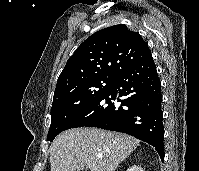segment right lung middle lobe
<instances>
[{
    "label": "right lung middle lobe",
    "instance_id": "1",
    "mask_svg": "<svg viewBox=\"0 0 199 171\" xmlns=\"http://www.w3.org/2000/svg\"><path fill=\"white\" fill-rule=\"evenodd\" d=\"M115 78L114 76H103L88 80L54 100L51 107L48 140L53 141L56 135L64 131L67 124L102 94Z\"/></svg>",
    "mask_w": 199,
    "mask_h": 171
}]
</instances>
